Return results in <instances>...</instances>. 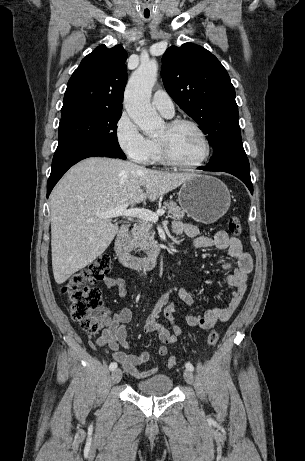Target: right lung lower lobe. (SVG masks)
Wrapping results in <instances>:
<instances>
[{
    "label": "right lung lower lobe",
    "instance_id": "right-lung-lower-lobe-1",
    "mask_svg": "<svg viewBox=\"0 0 305 461\" xmlns=\"http://www.w3.org/2000/svg\"><path fill=\"white\" fill-rule=\"evenodd\" d=\"M94 156L120 158L119 155L115 154L111 150L94 145H83L56 151L52 161L51 174L47 182V198L55 184L72 165L76 164L80 160Z\"/></svg>",
    "mask_w": 305,
    "mask_h": 461
}]
</instances>
